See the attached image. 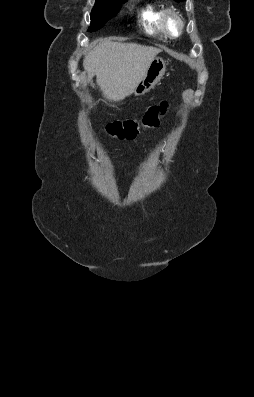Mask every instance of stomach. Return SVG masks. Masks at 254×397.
Returning <instances> with one entry per match:
<instances>
[{"instance_id": "1", "label": "stomach", "mask_w": 254, "mask_h": 397, "mask_svg": "<svg viewBox=\"0 0 254 397\" xmlns=\"http://www.w3.org/2000/svg\"><path fill=\"white\" fill-rule=\"evenodd\" d=\"M166 71V63L162 58L155 57L148 69L146 70L143 78L138 83L134 90L135 96H141L150 91L163 77Z\"/></svg>"}]
</instances>
